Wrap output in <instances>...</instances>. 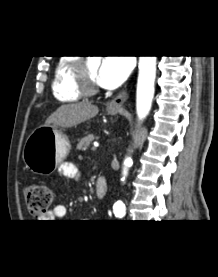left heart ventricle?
<instances>
[{
  "label": "left heart ventricle",
  "mask_w": 218,
  "mask_h": 277,
  "mask_svg": "<svg viewBox=\"0 0 218 277\" xmlns=\"http://www.w3.org/2000/svg\"><path fill=\"white\" fill-rule=\"evenodd\" d=\"M86 65H87V70H88L90 78L92 80L96 81V73L98 71L99 63L93 62V61H88L86 63Z\"/></svg>",
  "instance_id": "1"
}]
</instances>
